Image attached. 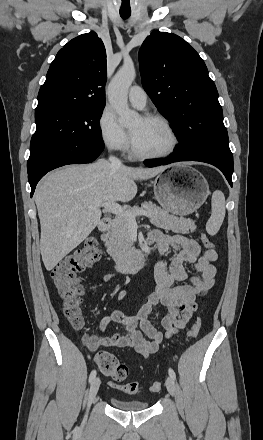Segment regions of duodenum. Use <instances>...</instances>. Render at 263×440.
Segmentation results:
<instances>
[{"mask_svg":"<svg viewBox=\"0 0 263 440\" xmlns=\"http://www.w3.org/2000/svg\"><path fill=\"white\" fill-rule=\"evenodd\" d=\"M112 221L109 218H103L99 223L101 232L106 233L111 227ZM149 257V252L143 251L135 254L131 259L122 260L114 264V267L121 273H135L142 269Z\"/></svg>","mask_w":263,"mask_h":440,"instance_id":"obj_1","label":"duodenum"}]
</instances>
